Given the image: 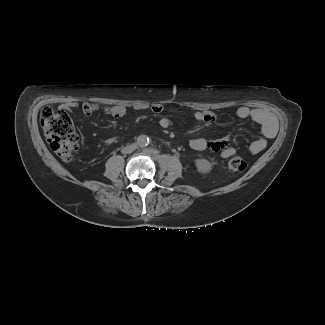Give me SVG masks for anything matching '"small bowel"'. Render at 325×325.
Returning a JSON list of instances; mask_svg holds the SVG:
<instances>
[{"label": "small bowel", "mask_w": 325, "mask_h": 325, "mask_svg": "<svg viewBox=\"0 0 325 325\" xmlns=\"http://www.w3.org/2000/svg\"><path fill=\"white\" fill-rule=\"evenodd\" d=\"M78 106V103H69L67 105L61 104L57 108L62 120H64L68 130L71 132L75 129L74 125L76 124V119L71 118L69 115H71L73 109ZM136 108L137 110L150 109L155 114H160L165 109L164 105L160 103L153 104L150 107L147 105H139ZM82 109L85 114H91L96 110V106L92 103L84 102L82 104ZM109 113L112 117L120 119L126 115L127 109L122 105H116L109 108ZM236 114L242 119L251 118L261 127L263 137L252 141L248 150L252 154H257L263 151L267 146V140L273 138L277 130L273 117L261 108L252 109L245 105L239 106L236 110ZM192 117L196 121L205 123H214L217 120L216 116L212 112L208 111H194ZM159 125L164 130H169L174 127L173 121L167 117L161 118ZM189 145L196 151L210 150L213 152H219L223 158H229L236 153V148L232 145V136L230 134L210 141L204 138H194L190 140Z\"/></svg>", "instance_id": "obj_1"}]
</instances>
